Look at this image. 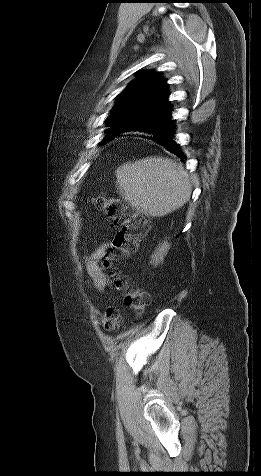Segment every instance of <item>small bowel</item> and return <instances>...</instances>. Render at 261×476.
<instances>
[{
	"label": "small bowel",
	"mask_w": 261,
	"mask_h": 476,
	"mask_svg": "<svg viewBox=\"0 0 261 476\" xmlns=\"http://www.w3.org/2000/svg\"><path fill=\"white\" fill-rule=\"evenodd\" d=\"M107 245L98 247L88 258L87 274L92 286L98 291H103L110 285V280L104 270L99 266V261L105 254Z\"/></svg>",
	"instance_id": "small-bowel-1"
}]
</instances>
